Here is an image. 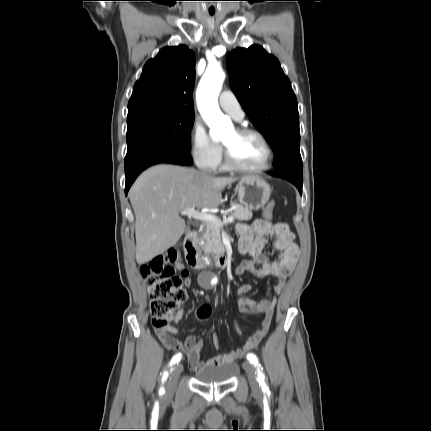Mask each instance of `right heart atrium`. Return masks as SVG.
I'll return each instance as SVG.
<instances>
[{"instance_id": "d8ad5b80", "label": "right heart atrium", "mask_w": 431, "mask_h": 431, "mask_svg": "<svg viewBox=\"0 0 431 431\" xmlns=\"http://www.w3.org/2000/svg\"><path fill=\"white\" fill-rule=\"evenodd\" d=\"M190 153L198 167L212 171L220 164L222 147L209 136L201 123L195 122L190 132Z\"/></svg>"}]
</instances>
